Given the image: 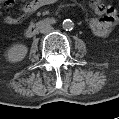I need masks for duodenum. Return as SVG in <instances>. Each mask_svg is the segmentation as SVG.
Instances as JSON below:
<instances>
[{"mask_svg": "<svg viewBox=\"0 0 119 119\" xmlns=\"http://www.w3.org/2000/svg\"><path fill=\"white\" fill-rule=\"evenodd\" d=\"M56 23L54 18H44L31 23L25 31L26 37L30 38L37 34L39 30L45 26L53 25Z\"/></svg>", "mask_w": 119, "mask_h": 119, "instance_id": "obj_1", "label": "duodenum"}]
</instances>
